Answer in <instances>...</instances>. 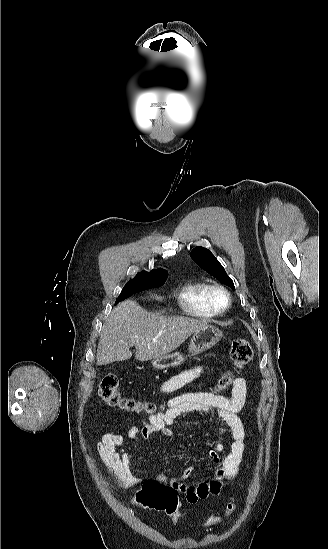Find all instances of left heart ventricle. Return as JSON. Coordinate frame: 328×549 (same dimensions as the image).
<instances>
[{
    "mask_svg": "<svg viewBox=\"0 0 328 549\" xmlns=\"http://www.w3.org/2000/svg\"><path fill=\"white\" fill-rule=\"evenodd\" d=\"M216 303L219 307H223L226 303V297L223 294H218L216 296Z\"/></svg>",
    "mask_w": 328,
    "mask_h": 549,
    "instance_id": "left-heart-ventricle-1",
    "label": "left heart ventricle"
}]
</instances>
